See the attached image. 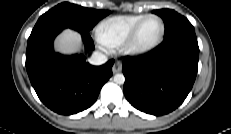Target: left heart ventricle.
Returning <instances> with one entry per match:
<instances>
[{"instance_id":"obj_1","label":"left heart ventricle","mask_w":231,"mask_h":134,"mask_svg":"<svg viewBox=\"0 0 231 134\" xmlns=\"http://www.w3.org/2000/svg\"><path fill=\"white\" fill-rule=\"evenodd\" d=\"M161 32V23L156 18H151L143 25L139 36L138 45L147 46L153 43L159 36Z\"/></svg>"}]
</instances>
